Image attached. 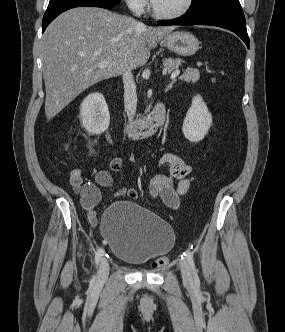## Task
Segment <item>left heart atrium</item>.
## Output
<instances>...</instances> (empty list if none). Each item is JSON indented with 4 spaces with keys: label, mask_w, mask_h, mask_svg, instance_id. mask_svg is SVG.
<instances>
[{
    "label": "left heart atrium",
    "mask_w": 285,
    "mask_h": 332,
    "mask_svg": "<svg viewBox=\"0 0 285 332\" xmlns=\"http://www.w3.org/2000/svg\"><path fill=\"white\" fill-rule=\"evenodd\" d=\"M153 2V4L157 1V0H151Z\"/></svg>",
    "instance_id": "obj_1"
}]
</instances>
